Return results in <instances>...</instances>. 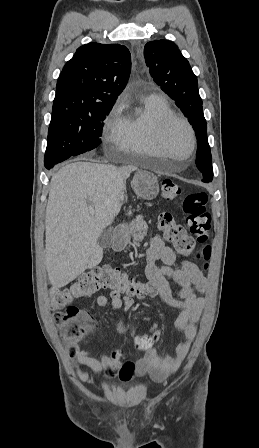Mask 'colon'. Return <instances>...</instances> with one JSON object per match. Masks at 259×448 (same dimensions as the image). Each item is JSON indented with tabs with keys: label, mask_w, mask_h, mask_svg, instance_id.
<instances>
[{
	"label": "colon",
	"mask_w": 259,
	"mask_h": 448,
	"mask_svg": "<svg viewBox=\"0 0 259 448\" xmlns=\"http://www.w3.org/2000/svg\"><path fill=\"white\" fill-rule=\"evenodd\" d=\"M161 196L173 201L182 193L181 186L171 178H164L160 183ZM208 196L205 192H192L182 201L186 215L187 228L177 223L170 213H161L158 226L166 238L182 255H190L194 243L199 244L197 257L207 262L211 256L208 244L211 231V216L207 209ZM206 267V264L204 265ZM109 291L112 295L144 298L156 294L155 288L142 281L135 280L118 269L98 267L82 274L76 281L66 287H53L49 291L50 306L54 320L60 327L62 337L67 344L79 342L94 325L93 319L85 310L72 306L76 300L90 297L99 291ZM160 338V333L151 332L136 337L138 350L151 349Z\"/></svg>",
	"instance_id": "5ec220e1"
}]
</instances>
